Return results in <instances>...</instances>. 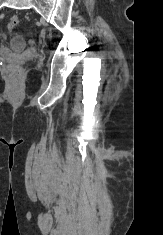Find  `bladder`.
Returning a JSON list of instances; mask_svg holds the SVG:
<instances>
[{
	"label": "bladder",
	"instance_id": "bladder-1",
	"mask_svg": "<svg viewBox=\"0 0 163 235\" xmlns=\"http://www.w3.org/2000/svg\"><path fill=\"white\" fill-rule=\"evenodd\" d=\"M26 44V40L22 36L14 37L10 40L9 45L14 50H21Z\"/></svg>",
	"mask_w": 163,
	"mask_h": 235
}]
</instances>
